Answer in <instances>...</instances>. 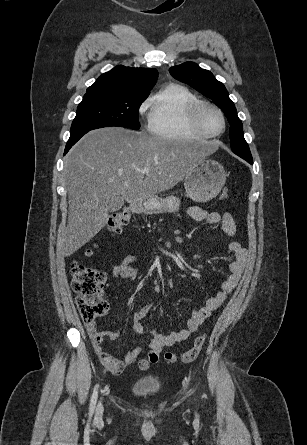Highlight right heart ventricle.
Segmentation results:
<instances>
[{"instance_id":"right-heart-ventricle-1","label":"right heart ventricle","mask_w":307,"mask_h":445,"mask_svg":"<svg viewBox=\"0 0 307 445\" xmlns=\"http://www.w3.org/2000/svg\"><path fill=\"white\" fill-rule=\"evenodd\" d=\"M152 106L150 131L165 140H202L193 121L197 98L186 88L176 85L157 87L146 99Z\"/></svg>"}]
</instances>
